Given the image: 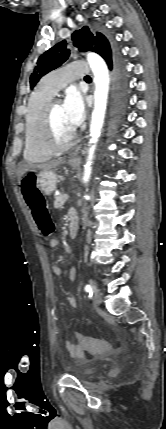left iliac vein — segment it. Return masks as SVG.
Returning a JSON list of instances; mask_svg holds the SVG:
<instances>
[{"label": "left iliac vein", "mask_w": 166, "mask_h": 429, "mask_svg": "<svg viewBox=\"0 0 166 429\" xmlns=\"http://www.w3.org/2000/svg\"><path fill=\"white\" fill-rule=\"evenodd\" d=\"M94 288V293L92 296V301L94 305H99L101 302V295L100 293L97 291L96 287L93 285Z\"/></svg>", "instance_id": "4c4485c4"}]
</instances>
